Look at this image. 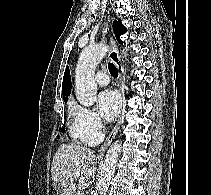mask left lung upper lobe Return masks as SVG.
I'll list each match as a JSON object with an SVG mask.
<instances>
[{
  "label": "left lung upper lobe",
  "mask_w": 211,
  "mask_h": 195,
  "mask_svg": "<svg viewBox=\"0 0 211 195\" xmlns=\"http://www.w3.org/2000/svg\"><path fill=\"white\" fill-rule=\"evenodd\" d=\"M113 30H114V33H115V36H116V39L118 40V42H119L120 44H123V41H121V40L119 39V37H120L121 35H123L127 30H126V28L122 25L121 20H118V21L114 20V22H113Z\"/></svg>",
  "instance_id": "5c2ea615"
}]
</instances>
